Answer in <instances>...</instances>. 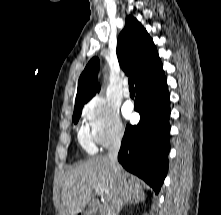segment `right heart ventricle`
I'll use <instances>...</instances> for the list:
<instances>
[{"instance_id":"obj_1","label":"right heart ventricle","mask_w":221,"mask_h":215,"mask_svg":"<svg viewBox=\"0 0 221 215\" xmlns=\"http://www.w3.org/2000/svg\"><path fill=\"white\" fill-rule=\"evenodd\" d=\"M78 138H79L80 144L82 145V147L84 149H86L87 151L94 150V145H93L92 139L86 129L82 128L80 130Z\"/></svg>"}]
</instances>
